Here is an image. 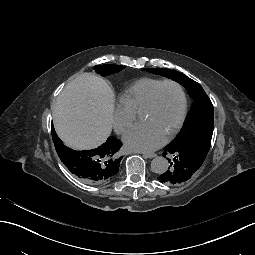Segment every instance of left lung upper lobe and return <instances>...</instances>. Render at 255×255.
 <instances>
[{
  "label": "left lung upper lobe",
  "instance_id": "5c2ea615",
  "mask_svg": "<svg viewBox=\"0 0 255 255\" xmlns=\"http://www.w3.org/2000/svg\"><path fill=\"white\" fill-rule=\"evenodd\" d=\"M143 70L177 81L186 88L188 94L194 99L192 109L182 129L183 132L172 137L170 143L174 147L180 146L182 149L187 150L198 161H205L211 146L214 129V109L204 89L199 83L178 71L152 68H143Z\"/></svg>",
  "mask_w": 255,
  "mask_h": 255
}]
</instances>
